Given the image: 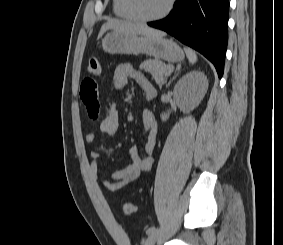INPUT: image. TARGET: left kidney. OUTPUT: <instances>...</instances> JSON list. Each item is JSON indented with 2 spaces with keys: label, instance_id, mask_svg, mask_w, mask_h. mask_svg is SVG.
Masks as SVG:
<instances>
[{
  "label": "left kidney",
  "instance_id": "left-kidney-1",
  "mask_svg": "<svg viewBox=\"0 0 283 245\" xmlns=\"http://www.w3.org/2000/svg\"><path fill=\"white\" fill-rule=\"evenodd\" d=\"M208 89V80L204 73L191 71L185 74L174 87V99L183 112L196 108L204 98ZM169 115L161 114L162 121Z\"/></svg>",
  "mask_w": 283,
  "mask_h": 245
}]
</instances>
